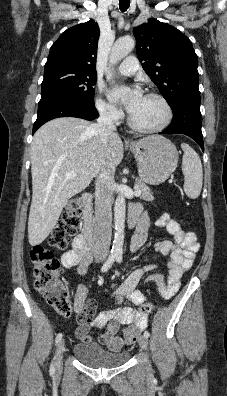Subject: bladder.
I'll return each mask as SVG.
<instances>
[{
    "mask_svg": "<svg viewBox=\"0 0 227 396\" xmlns=\"http://www.w3.org/2000/svg\"><path fill=\"white\" fill-rule=\"evenodd\" d=\"M75 357L92 368L110 369L125 364L130 357L127 351H112L94 343H80L73 349Z\"/></svg>",
    "mask_w": 227,
    "mask_h": 396,
    "instance_id": "bladder-1",
    "label": "bladder"
}]
</instances>
